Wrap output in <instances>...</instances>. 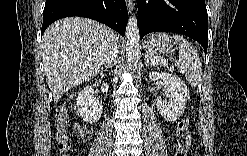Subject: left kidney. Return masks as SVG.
I'll use <instances>...</instances> for the list:
<instances>
[{
  "mask_svg": "<svg viewBox=\"0 0 247 156\" xmlns=\"http://www.w3.org/2000/svg\"><path fill=\"white\" fill-rule=\"evenodd\" d=\"M151 81L162 80L168 93V100L159 99L157 109L167 121H176L186 109L188 88L176 75L168 72H149Z\"/></svg>",
  "mask_w": 247,
  "mask_h": 156,
  "instance_id": "5707ae66",
  "label": "left kidney"
}]
</instances>
